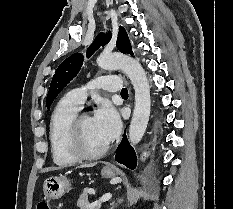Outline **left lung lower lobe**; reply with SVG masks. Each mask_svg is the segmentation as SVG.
I'll list each match as a JSON object with an SVG mask.
<instances>
[{
	"instance_id": "left-lung-lower-lobe-1",
	"label": "left lung lower lobe",
	"mask_w": 233,
	"mask_h": 209,
	"mask_svg": "<svg viewBox=\"0 0 233 209\" xmlns=\"http://www.w3.org/2000/svg\"><path fill=\"white\" fill-rule=\"evenodd\" d=\"M115 160L132 170L136 167V155L126 136L123 137V140L117 149Z\"/></svg>"
}]
</instances>
